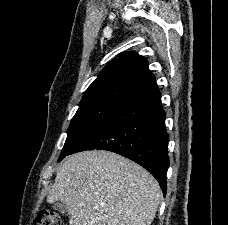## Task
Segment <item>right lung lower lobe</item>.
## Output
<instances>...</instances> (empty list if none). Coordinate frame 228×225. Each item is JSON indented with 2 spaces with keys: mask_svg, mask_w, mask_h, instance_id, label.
<instances>
[{
  "mask_svg": "<svg viewBox=\"0 0 228 225\" xmlns=\"http://www.w3.org/2000/svg\"><path fill=\"white\" fill-rule=\"evenodd\" d=\"M165 118L161 95L153 82L89 131L68 155L92 149L120 154L148 170L165 196L169 167Z\"/></svg>",
  "mask_w": 228,
  "mask_h": 225,
  "instance_id": "1",
  "label": "right lung lower lobe"
}]
</instances>
